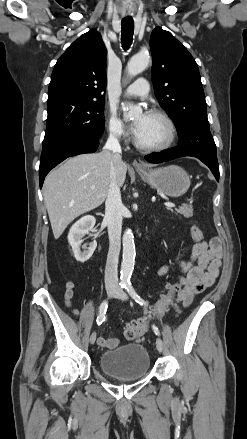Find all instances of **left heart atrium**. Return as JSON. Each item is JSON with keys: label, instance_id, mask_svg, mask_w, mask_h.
I'll return each instance as SVG.
<instances>
[{"label": "left heart atrium", "instance_id": "39dd6f15", "mask_svg": "<svg viewBox=\"0 0 247 439\" xmlns=\"http://www.w3.org/2000/svg\"><path fill=\"white\" fill-rule=\"evenodd\" d=\"M144 118H145V116H142L141 119L136 121L134 123V125L132 126V130H133V133L135 134V136H138V134L140 133L142 126H143Z\"/></svg>", "mask_w": 247, "mask_h": 439}]
</instances>
